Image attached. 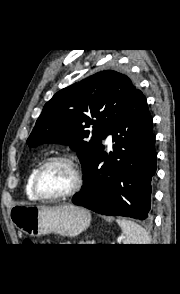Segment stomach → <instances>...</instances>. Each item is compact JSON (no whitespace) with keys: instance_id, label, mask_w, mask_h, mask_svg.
I'll list each match as a JSON object with an SVG mask.
<instances>
[{"instance_id":"stomach-1","label":"stomach","mask_w":180,"mask_h":294,"mask_svg":"<svg viewBox=\"0 0 180 294\" xmlns=\"http://www.w3.org/2000/svg\"><path fill=\"white\" fill-rule=\"evenodd\" d=\"M10 217L20 231L26 235L40 237L50 233L74 237L88 228L90 212L74 205L33 206L16 205Z\"/></svg>"}]
</instances>
